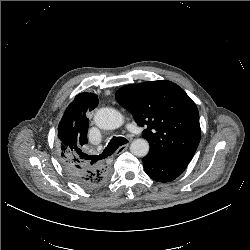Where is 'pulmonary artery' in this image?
I'll list each match as a JSON object with an SVG mask.
<instances>
[{
  "label": "pulmonary artery",
  "mask_w": 250,
  "mask_h": 250,
  "mask_svg": "<svg viewBox=\"0 0 250 250\" xmlns=\"http://www.w3.org/2000/svg\"><path fill=\"white\" fill-rule=\"evenodd\" d=\"M129 129H130V131H132V132H135L136 131V127L134 126V125H130L129 126Z\"/></svg>",
  "instance_id": "1"
}]
</instances>
